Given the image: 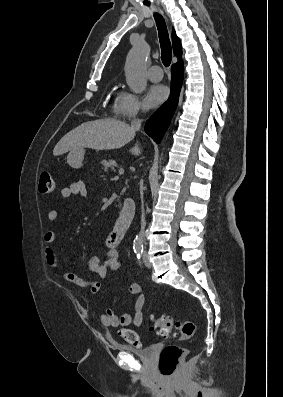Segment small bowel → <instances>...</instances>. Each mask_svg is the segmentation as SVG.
Here are the masks:
<instances>
[{
  "instance_id": "obj_1",
  "label": "small bowel",
  "mask_w": 283,
  "mask_h": 397,
  "mask_svg": "<svg viewBox=\"0 0 283 397\" xmlns=\"http://www.w3.org/2000/svg\"><path fill=\"white\" fill-rule=\"evenodd\" d=\"M87 187L84 181L78 180L72 182L69 186L63 187L60 190V195L63 198H71L73 196H85ZM60 216L57 209H52L48 212V220L56 221ZM123 235L113 230L108 238L107 245L109 249L102 255H96L89 259L88 268L94 272L99 278H105L109 272H116L122 268L119 252L116 249L117 244L121 241ZM45 243L44 257L47 266L56 272V275L63 280L79 286L87 288L92 294L99 292L101 284L98 281L86 280L75 273L58 272V258L53 247L56 240V233L52 230L45 232L43 236ZM128 291L131 295H136L133 305V313H123L121 315L115 314L111 309H107L100 315V322L105 327H126L134 324L136 327L141 326L143 320V308L145 305V296L142 294V288L139 283L133 282L129 285Z\"/></svg>"
}]
</instances>
